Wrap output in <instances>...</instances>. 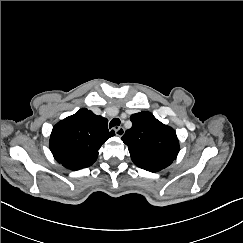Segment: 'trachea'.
I'll list each match as a JSON object with an SVG mask.
<instances>
[{
	"mask_svg": "<svg viewBox=\"0 0 243 243\" xmlns=\"http://www.w3.org/2000/svg\"><path fill=\"white\" fill-rule=\"evenodd\" d=\"M119 125H120V119L114 118V119L111 120L109 127L112 128V127H117Z\"/></svg>",
	"mask_w": 243,
	"mask_h": 243,
	"instance_id": "3493384b",
	"label": "trachea"
}]
</instances>
